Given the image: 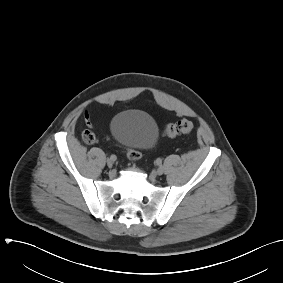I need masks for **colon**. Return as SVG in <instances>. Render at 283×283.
<instances>
[{
	"label": "colon",
	"instance_id": "obj_1",
	"mask_svg": "<svg viewBox=\"0 0 283 283\" xmlns=\"http://www.w3.org/2000/svg\"><path fill=\"white\" fill-rule=\"evenodd\" d=\"M194 130V124L192 121L183 119L175 123L167 124L163 129V135L167 137H175L182 134H189ZM82 138L85 143L92 144L95 141V135L90 130H85L82 133ZM127 157L131 161H138L141 157L140 152L134 149L127 150Z\"/></svg>",
	"mask_w": 283,
	"mask_h": 283
}]
</instances>
